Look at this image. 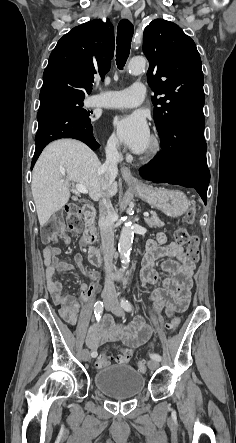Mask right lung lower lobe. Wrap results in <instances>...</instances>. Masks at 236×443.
Masks as SVG:
<instances>
[{
	"mask_svg": "<svg viewBox=\"0 0 236 443\" xmlns=\"http://www.w3.org/2000/svg\"><path fill=\"white\" fill-rule=\"evenodd\" d=\"M37 120L36 149L31 168H33L43 148L56 139H78L86 143L92 150H96L100 146L93 136V127L90 124V119L82 118L59 100H41Z\"/></svg>",
	"mask_w": 236,
	"mask_h": 443,
	"instance_id": "right-lung-lower-lobe-1",
	"label": "right lung lower lobe"
}]
</instances>
